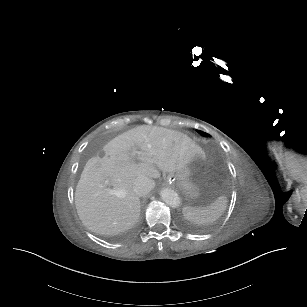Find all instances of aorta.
<instances>
[{
	"label": "aorta",
	"instance_id": "1",
	"mask_svg": "<svg viewBox=\"0 0 307 307\" xmlns=\"http://www.w3.org/2000/svg\"><path fill=\"white\" fill-rule=\"evenodd\" d=\"M160 196L165 203L171 206H177L179 204L178 194L170 188H163L160 191Z\"/></svg>",
	"mask_w": 307,
	"mask_h": 307
}]
</instances>
